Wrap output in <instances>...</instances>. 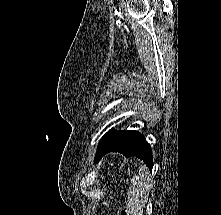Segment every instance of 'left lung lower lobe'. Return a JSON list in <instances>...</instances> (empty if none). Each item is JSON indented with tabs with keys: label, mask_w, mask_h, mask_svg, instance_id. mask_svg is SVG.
Segmentation results:
<instances>
[{
	"label": "left lung lower lobe",
	"mask_w": 221,
	"mask_h": 215,
	"mask_svg": "<svg viewBox=\"0 0 221 215\" xmlns=\"http://www.w3.org/2000/svg\"><path fill=\"white\" fill-rule=\"evenodd\" d=\"M109 152H120L125 157L136 156L152 170L153 160L150 145L139 132L109 130L100 140L95 160L101 159Z\"/></svg>",
	"instance_id": "left-lung-lower-lobe-1"
}]
</instances>
